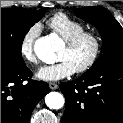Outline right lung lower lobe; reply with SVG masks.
Masks as SVG:
<instances>
[{
    "label": "right lung lower lobe",
    "instance_id": "right-lung-lower-lobe-1",
    "mask_svg": "<svg viewBox=\"0 0 123 123\" xmlns=\"http://www.w3.org/2000/svg\"><path fill=\"white\" fill-rule=\"evenodd\" d=\"M32 75L25 64L1 63V123H29L34 107L50 92Z\"/></svg>",
    "mask_w": 123,
    "mask_h": 123
}]
</instances>
